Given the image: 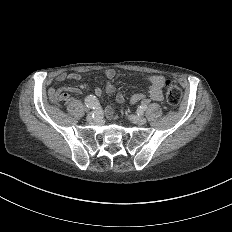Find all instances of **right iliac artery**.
<instances>
[{"label": "right iliac artery", "instance_id": "82829eb1", "mask_svg": "<svg viewBox=\"0 0 232 232\" xmlns=\"http://www.w3.org/2000/svg\"><path fill=\"white\" fill-rule=\"evenodd\" d=\"M99 100L95 95H89L85 98V105L88 108L94 109L98 106Z\"/></svg>", "mask_w": 232, "mask_h": 232}]
</instances>
